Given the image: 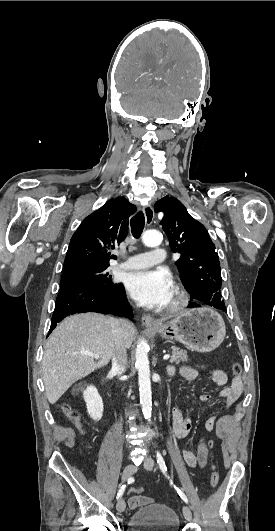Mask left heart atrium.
Wrapping results in <instances>:
<instances>
[{
  "instance_id": "obj_1",
  "label": "left heart atrium",
  "mask_w": 275,
  "mask_h": 531,
  "mask_svg": "<svg viewBox=\"0 0 275 531\" xmlns=\"http://www.w3.org/2000/svg\"><path fill=\"white\" fill-rule=\"evenodd\" d=\"M125 284L130 295L146 307H163L173 288L171 274L163 268H145L129 273Z\"/></svg>"
}]
</instances>
